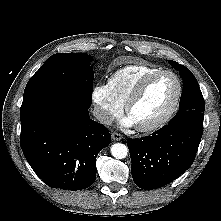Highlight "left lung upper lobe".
I'll return each mask as SVG.
<instances>
[{
	"label": "left lung upper lobe",
	"mask_w": 221,
	"mask_h": 221,
	"mask_svg": "<svg viewBox=\"0 0 221 221\" xmlns=\"http://www.w3.org/2000/svg\"><path fill=\"white\" fill-rule=\"evenodd\" d=\"M169 63L179 70L183 79V93L180 98L179 112L185 110H196L204 113L205 103L198 82L192 72L185 66L175 61Z\"/></svg>",
	"instance_id": "1"
}]
</instances>
